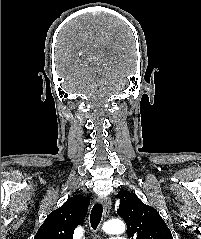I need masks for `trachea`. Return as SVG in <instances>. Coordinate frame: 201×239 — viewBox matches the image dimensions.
<instances>
[{
    "instance_id": "trachea-1",
    "label": "trachea",
    "mask_w": 201,
    "mask_h": 239,
    "mask_svg": "<svg viewBox=\"0 0 201 239\" xmlns=\"http://www.w3.org/2000/svg\"><path fill=\"white\" fill-rule=\"evenodd\" d=\"M102 213H103V206L101 204L96 203L92 210H91V214H90V223H91V227L96 230L101 218H102Z\"/></svg>"
}]
</instances>
